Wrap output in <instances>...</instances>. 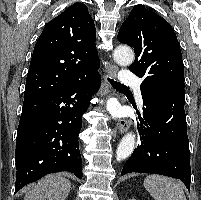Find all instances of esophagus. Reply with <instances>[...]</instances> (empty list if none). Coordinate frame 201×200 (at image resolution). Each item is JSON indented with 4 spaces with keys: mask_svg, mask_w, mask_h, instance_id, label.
I'll return each instance as SVG.
<instances>
[{
    "mask_svg": "<svg viewBox=\"0 0 201 200\" xmlns=\"http://www.w3.org/2000/svg\"><path fill=\"white\" fill-rule=\"evenodd\" d=\"M117 72H118V67L117 66L110 65L108 67V76L110 78H116ZM130 123L131 122L128 119L119 118L117 120V128H118L119 133H121V134L125 133L129 129Z\"/></svg>",
    "mask_w": 201,
    "mask_h": 200,
    "instance_id": "esophagus-1",
    "label": "esophagus"
}]
</instances>
